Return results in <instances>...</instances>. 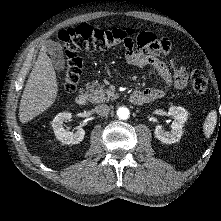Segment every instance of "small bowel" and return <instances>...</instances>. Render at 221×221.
Wrapping results in <instances>:
<instances>
[{
    "mask_svg": "<svg viewBox=\"0 0 221 221\" xmlns=\"http://www.w3.org/2000/svg\"><path fill=\"white\" fill-rule=\"evenodd\" d=\"M170 48L171 44L167 38L158 37L151 32H141L135 43L132 41L125 47V57L131 65L152 67L168 85L181 90L187 84L186 71L175 62H171V66L168 67L159 59L160 55H167ZM139 92L144 95L147 102L165 95V91L158 88H146Z\"/></svg>",
    "mask_w": 221,
    "mask_h": 221,
    "instance_id": "c3829d8e",
    "label": "small bowel"
}]
</instances>
